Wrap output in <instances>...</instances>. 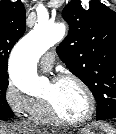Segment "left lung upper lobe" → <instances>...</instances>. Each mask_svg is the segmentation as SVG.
I'll return each mask as SVG.
<instances>
[{
    "label": "left lung upper lobe",
    "instance_id": "1",
    "mask_svg": "<svg viewBox=\"0 0 116 134\" xmlns=\"http://www.w3.org/2000/svg\"><path fill=\"white\" fill-rule=\"evenodd\" d=\"M69 24L57 53L97 101V116L116 113V13L97 0H72L62 12Z\"/></svg>",
    "mask_w": 116,
    "mask_h": 134
}]
</instances>
